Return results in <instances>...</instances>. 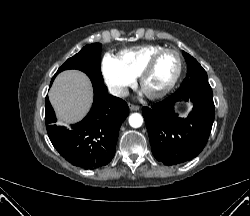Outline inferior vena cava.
<instances>
[{"mask_svg":"<svg viewBox=\"0 0 250 216\" xmlns=\"http://www.w3.org/2000/svg\"><path fill=\"white\" fill-rule=\"evenodd\" d=\"M110 94L117 96V97H126L129 94V91L125 87L117 86V85H110L108 87Z\"/></svg>","mask_w":250,"mask_h":216,"instance_id":"1","label":"inferior vena cava"}]
</instances>
